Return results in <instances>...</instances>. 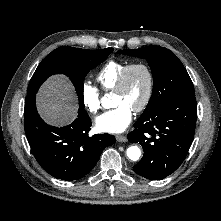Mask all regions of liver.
Instances as JSON below:
<instances>
[{"mask_svg":"<svg viewBox=\"0 0 221 221\" xmlns=\"http://www.w3.org/2000/svg\"><path fill=\"white\" fill-rule=\"evenodd\" d=\"M40 116L54 126L69 124L77 115L73 88L68 79L56 75L48 79L37 94Z\"/></svg>","mask_w":221,"mask_h":221,"instance_id":"6515ba94","label":"liver"}]
</instances>
